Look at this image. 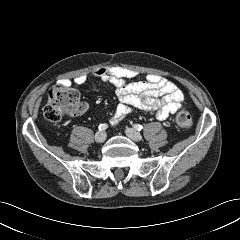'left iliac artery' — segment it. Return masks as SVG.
<instances>
[{
    "label": "left iliac artery",
    "instance_id": "44dca946",
    "mask_svg": "<svg viewBox=\"0 0 240 240\" xmlns=\"http://www.w3.org/2000/svg\"><path fill=\"white\" fill-rule=\"evenodd\" d=\"M136 130L141 131L143 129V126L140 124H134L133 126Z\"/></svg>",
    "mask_w": 240,
    "mask_h": 240
}]
</instances>
